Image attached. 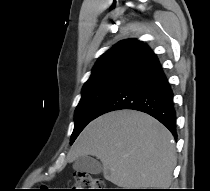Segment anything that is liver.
<instances>
[{
    "instance_id": "liver-1",
    "label": "liver",
    "mask_w": 210,
    "mask_h": 191,
    "mask_svg": "<svg viewBox=\"0 0 210 191\" xmlns=\"http://www.w3.org/2000/svg\"><path fill=\"white\" fill-rule=\"evenodd\" d=\"M92 155L106 180L125 189L169 187L176 165L172 134L153 117L135 110L104 114L82 131L68 161Z\"/></svg>"
}]
</instances>
